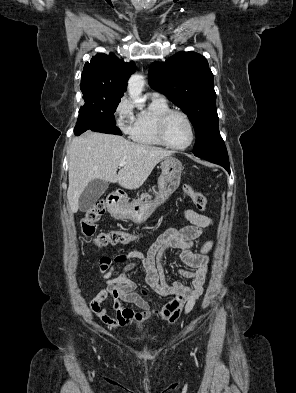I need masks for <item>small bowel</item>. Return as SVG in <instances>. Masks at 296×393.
I'll return each mask as SVG.
<instances>
[{"label":"small bowel","instance_id":"1","mask_svg":"<svg viewBox=\"0 0 296 393\" xmlns=\"http://www.w3.org/2000/svg\"><path fill=\"white\" fill-rule=\"evenodd\" d=\"M183 217L190 225L182 229H168L153 243L146 254L139 251H128L114 257L103 256L99 260V270L105 281L101 289L90 301V308L110 329L119 326H134L139 332L153 318H158L171 325L182 315L188 314L198 298L203 294L205 278L208 272V253L213 242L208 241L199 253L192 251L193 242L201 236L203 230L212 225L213 220L192 209H185ZM170 249L179 251L181 262L188 268L180 269V274L189 278V284L179 281L168 283L163 268V257ZM123 265L122 271L113 277L117 266ZM141 265L146 273V281L150 288L161 297L172 300L159 310H154L148 302L147 292L137 291V284L129 278V273ZM106 303L104 307L102 304ZM133 304L141 311L136 312L125 304ZM112 307L116 317L108 315L107 309Z\"/></svg>","mask_w":296,"mask_h":393}]
</instances>
